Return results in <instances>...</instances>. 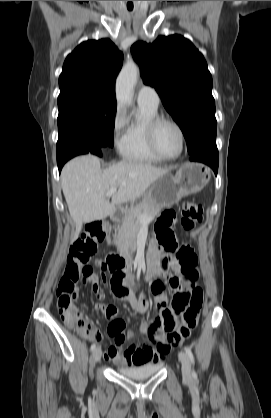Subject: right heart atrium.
Returning <instances> with one entry per match:
<instances>
[{
	"mask_svg": "<svg viewBox=\"0 0 271 418\" xmlns=\"http://www.w3.org/2000/svg\"><path fill=\"white\" fill-rule=\"evenodd\" d=\"M125 123L126 121L123 110L121 108H117L112 123V135L113 142L118 148H120L122 144Z\"/></svg>",
	"mask_w": 271,
	"mask_h": 418,
	"instance_id": "obj_1",
	"label": "right heart atrium"
}]
</instances>
